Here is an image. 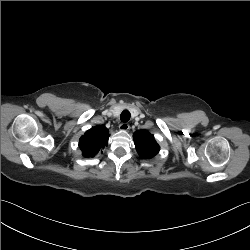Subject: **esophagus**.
<instances>
[{
  "label": "esophagus",
  "mask_w": 250,
  "mask_h": 250,
  "mask_svg": "<svg viewBox=\"0 0 250 250\" xmlns=\"http://www.w3.org/2000/svg\"><path fill=\"white\" fill-rule=\"evenodd\" d=\"M129 128H130V126H129L128 123H121V124L119 125V129H120L121 131H127V130H129Z\"/></svg>",
  "instance_id": "esophagus-1"
}]
</instances>
